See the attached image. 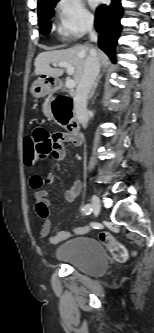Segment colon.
Listing matches in <instances>:
<instances>
[{"label":"colon","mask_w":154,"mask_h":333,"mask_svg":"<svg viewBox=\"0 0 154 333\" xmlns=\"http://www.w3.org/2000/svg\"><path fill=\"white\" fill-rule=\"evenodd\" d=\"M52 107L59 123L70 131L71 99L66 96H60L53 101ZM22 149L24 164L27 167H32L37 161L35 141L32 136H27L23 139ZM99 239L116 261L124 262L127 260L128 252L126 248L111 233L101 232Z\"/></svg>","instance_id":"1"}]
</instances>
